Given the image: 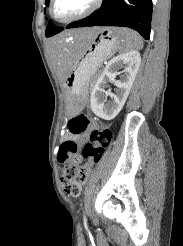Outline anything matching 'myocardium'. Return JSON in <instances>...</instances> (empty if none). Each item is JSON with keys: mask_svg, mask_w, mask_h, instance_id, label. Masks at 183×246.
I'll return each mask as SVG.
<instances>
[{"mask_svg": "<svg viewBox=\"0 0 183 246\" xmlns=\"http://www.w3.org/2000/svg\"><path fill=\"white\" fill-rule=\"evenodd\" d=\"M102 1L103 0H92L91 4L81 13L74 15L72 17L66 18V19H58L55 17L54 12H53L55 0H50L49 15L54 21L59 22V23L74 22V21L83 19V18L89 16L90 14H92L94 11H96L98 9V7L101 5Z\"/></svg>", "mask_w": 183, "mask_h": 246, "instance_id": "myocardium-1", "label": "myocardium"}]
</instances>
